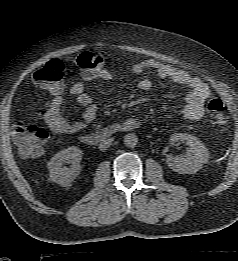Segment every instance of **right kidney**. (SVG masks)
I'll return each mask as SVG.
<instances>
[{
    "instance_id": "obj_1",
    "label": "right kidney",
    "mask_w": 238,
    "mask_h": 261,
    "mask_svg": "<svg viewBox=\"0 0 238 261\" xmlns=\"http://www.w3.org/2000/svg\"><path fill=\"white\" fill-rule=\"evenodd\" d=\"M82 155V151L76 146H70L56 153L47 164L50 181L63 187L69 186L81 171ZM65 163L71 164L70 168L62 167Z\"/></svg>"
}]
</instances>
